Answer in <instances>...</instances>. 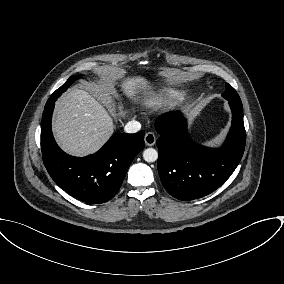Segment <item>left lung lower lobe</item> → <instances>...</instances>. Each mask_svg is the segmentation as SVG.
Wrapping results in <instances>:
<instances>
[{
	"label": "left lung lower lobe",
	"mask_w": 284,
	"mask_h": 284,
	"mask_svg": "<svg viewBox=\"0 0 284 284\" xmlns=\"http://www.w3.org/2000/svg\"><path fill=\"white\" fill-rule=\"evenodd\" d=\"M232 125L219 148L194 143L187 134L186 119L179 111L159 116L158 172L168 193L183 201L206 196L219 188L238 166L245 149L242 103L229 101Z\"/></svg>",
	"instance_id": "0a47b994"
}]
</instances>
